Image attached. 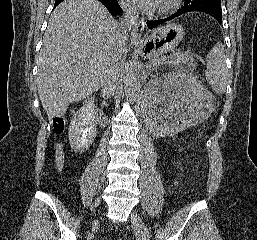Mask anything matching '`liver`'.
<instances>
[{"label":"liver","mask_w":257,"mask_h":240,"mask_svg":"<svg viewBox=\"0 0 257 240\" xmlns=\"http://www.w3.org/2000/svg\"><path fill=\"white\" fill-rule=\"evenodd\" d=\"M118 23L97 0H65L50 16L39 55L37 88L49 116L62 115L102 85ZM127 43L120 47V56Z\"/></svg>","instance_id":"liver-1"}]
</instances>
